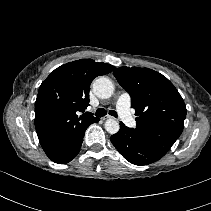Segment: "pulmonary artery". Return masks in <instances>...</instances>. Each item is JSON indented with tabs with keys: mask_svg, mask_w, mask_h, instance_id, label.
Returning <instances> with one entry per match:
<instances>
[{
	"mask_svg": "<svg viewBox=\"0 0 211 211\" xmlns=\"http://www.w3.org/2000/svg\"><path fill=\"white\" fill-rule=\"evenodd\" d=\"M130 106H131L130 95L126 92L121 93L118 96V99L116 102V109L122 121L128 127H134L136 125V121L131 113Z\"/></svg>",
	"mask_w": 211,
	"mask_h": 211,
	"instance_id": "e3ab8cb5",
	"label": "pulmonary artery"
}]
</instances>
